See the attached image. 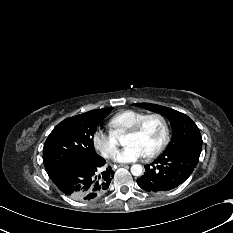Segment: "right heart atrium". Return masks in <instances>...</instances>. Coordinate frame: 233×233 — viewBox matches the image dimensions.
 Listing matches in <instances>:
<instances>
[{
	"label": "right heart atrium",
	"instance_id": "obj_1",
	"mask_svg": "<svg viewBox=\"0 0 233 233\" xmlns=\"http://www.w3.org/2000/svg\"><path fill=\"white\" fill-rule=\"evenodd\" d=\"M94 148L104 157H113L117 152V140L114 132L97 130L92 136Z\"/></svg>",
	"mask_w": 233,
	"mask_h": 233
}]
</instances>
